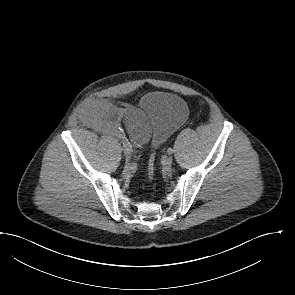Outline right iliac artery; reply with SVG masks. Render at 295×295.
Returning <instances> with one entry per match:
<instances>
[{"instance_id": "right-iliac-artery-1", "label": "right iliac artery", "mask_w": 295, "mask_h": 295, "mask_svg": "<svg viewBox=\"0 0 295 295\" xmlns=\"http://www.w3.org/2000/svg\"><path fill=\"white\" fill-rule=\"evenodd\" d=\"M120 138L122 139V144L125 147V149L131 150L132 147H131L130 143L128 142V140H126V138L124 136H120Z\"/></svg>"}]
</instances>
